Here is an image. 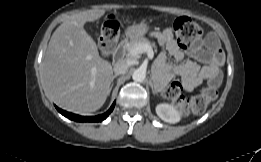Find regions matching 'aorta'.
<instances>
[{
	"instance_id": "1",
	"label": "aorta",
	"mask_w": 261,
	"mask_h": 162,
	"mask_svg": "<svg viewBox=\"0 0 261 162\" xmlns=\"http://www.w3.org/2000/svg\"><path fill=\"white\" fill-rule=\"evenodd\" d=\"M146 78V71L142 68L136 69L132 74V79L136 82H142Z\"/></svg>"
}]
</instances>
